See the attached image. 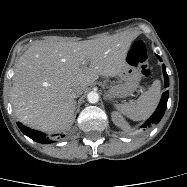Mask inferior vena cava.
Returning <instances> with one entry per match:
<instances>
[{"instance_id": "1", "label": "inferior vena cava", "mask_w": 187, "mask_h": 187, "mask_svg": "<svg viewBox=\"0 0 187 187\" xmlns=\"http://www.w3.org/2000/svg\"><path fill=\"white\" fill-rule=\"evenodd\" d=\"M83 90L81 88H75L71 91V97L77 98L82 94Z\"/></svg>"}]
</instances>
